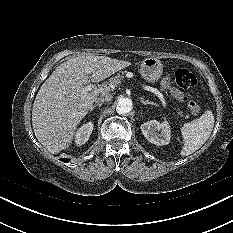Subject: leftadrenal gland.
<instances>
[{"mask_svg":"<svg viewBox=\"0 0 233 233\" xmlns=\"http://www.w3.org/2000/svg\"><path fill=\"white\" fill-rule=\"evenodd\" d=\"M141 103H143L144 105L150 104V105L157 106L156 103L151 102V101H149V100H144L143 98H141Z\"/></svg>","mask_w":233,"mask_h":233,"instance_id":"obj_1","label":"left adrenal gland"}]
</instances>
